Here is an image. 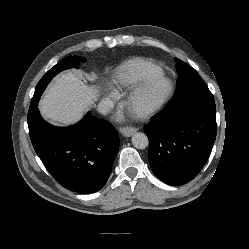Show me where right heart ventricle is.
Wrapping results in <instances>:
<instances>
[{
    "label": "right heart ventricle",
    "instance_id": "e07e8e85",
    "mask_svg": "<svg viewBox=\"0 0 249 249\" xmlns=\"http://www.w3.org/2000/svg\"><path fill=\"white\" fill-rule=\"evenodd\" d=\"M163 75L162 69L152 61L137 58L124 64L113 79L117 90L134 87L152 77Z\"/></svg>",
    "mask_w": 249,
    "mask_h": 249
}]
</instances>
